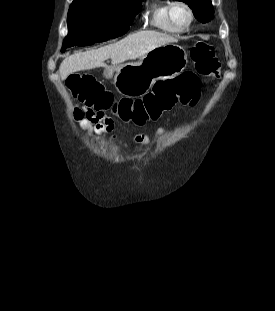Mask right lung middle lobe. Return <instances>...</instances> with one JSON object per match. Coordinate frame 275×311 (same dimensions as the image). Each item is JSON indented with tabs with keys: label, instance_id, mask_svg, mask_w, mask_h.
I'll list each match as a JSON object with an SVG mask.
<instances>
[{
	"label": "right lung middle lobe",
	"instance_id": "obj_1",
	"mask_svg": "<svg viewBox=\"0 0 275 311\" xmlns=\"http://www.w3.org/2000/svg\"><path fill=\"white\" fill-rule=\"evenodd\" d=\"M143 0H87L73 2L68 11L64 48L113 39L128 30Z\"/></svg>",
	"mask_w": 275,
	"mask_h": 311
}]
</instances>
